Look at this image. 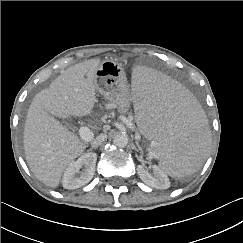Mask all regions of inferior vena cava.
<instances>
[{
	"label": "inferior vena cava",
	"mask_w": 243,
	"mask_h": 243,
	"mask_svg": "<svg viewBox=\"0 0 243 243\" xmlns=\"http://www.w3.org/2000/svg\"><path fill=\"white\" fill-rule=\"evenodd\" d=\"M106 139H107L106 134H100L99 136H97L95 139L91 141V145L92 147H98Z\"/></svg>",
	"instance_id": "1"
}]
</instances>
